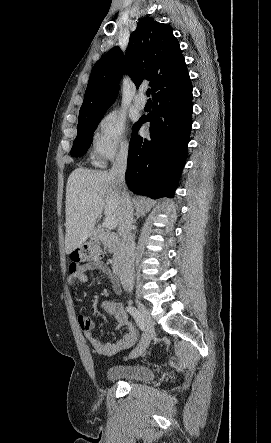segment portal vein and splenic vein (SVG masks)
Masks as SVG:
<instances>
[{"label": "portal vein and splenic vein", "mask_w": 271, "mask_h": 443, "mask_svg": "<svg viewBox=\"0 0 271 443\" xmlns=\"http://www.w3.org/2000/svg\"><path fill=\"white\" fill-rule=\"evenodd\" d=\"M105 227H109V229H113V227H116L117 222L113 216H107L104 220Z\"/></svg>", "instance_id": "obj_1"}]
</instances>
